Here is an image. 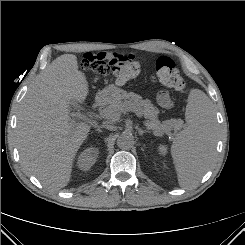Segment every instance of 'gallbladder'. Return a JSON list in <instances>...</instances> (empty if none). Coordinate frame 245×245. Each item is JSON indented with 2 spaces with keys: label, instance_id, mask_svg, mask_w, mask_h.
Here are the masks:
<instances>
[{
  "label": "gallbladder",
  "instance_id": "obj_1",
  "mask_svg": "<svg viewBox=\"0 0 245 245\" xmlns=\"http://www.w3.org/2000/svg\"><path fill=\"white\" fill-rule=\"evenodd\" d=\"M81 107V104L75 100V99H72L69 101V108H80Z\"/></svg>",
  "mask_w": 245,
  "mask_h": 245
}]
</instances>
